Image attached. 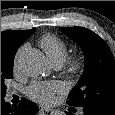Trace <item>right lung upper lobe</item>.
Masks as SVG:
<instances>
[{
	"instance_id": "1",
	"label": "right lung upper lobe",
	"mask_w": 115,
	"mask_h": 115,
	"mask_svg": "<svg viewBox=\"0 0 115 115\" xmlns=\"http://www.w3.org/2000/svg\"><path fill=\"white\" fill-rule=\"evenodd\" d=\"M34 31L35 28L25 31L7 30L1 32V62H13L18 47Z\"/></svg>"
}]
</instances>
